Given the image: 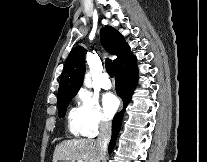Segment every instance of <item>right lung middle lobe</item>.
Returning <instances> with one entry per match:
<instances>
[{
    "label": "right lung middle lobe",
    "mask_w": 207,
    "mask_h": 162,
    "mask_svg": "<svg viewBox=\"0 0 207 162\" xmlns=\"http://www.w3.org/2000/svg\"><path fill=\"white\" fill-rule=\"evenodd\" d=\"M73 97L74 96H69V97L58 99V114L60 118L64 117L66 113V108Z\"/></svg>",
    "instance_id": "right-lung-middle-lobe-1"
}]
</instances>
